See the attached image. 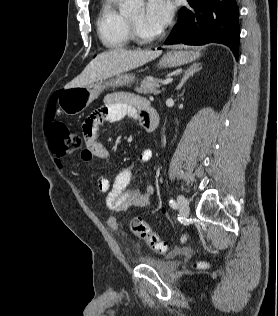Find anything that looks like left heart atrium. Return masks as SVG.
<instances>
[{
	"label": "left heart atrium",
	"mask_w": 278,
	"mask_h": 316,
	"mask_svg": "<svg viewBox=\"0 0 278 316\" xmlns=\"http://www.w3.org/2000/svg\"><path fill=\"white\" fill-rule=\"evenodd\" d=\"M174 5L171 0H148L145 7V22L156 30L161 31L172 20Z\"/></svg>",
	"instance_id": "39dd6f15"
}]
</instances>
